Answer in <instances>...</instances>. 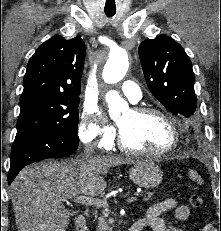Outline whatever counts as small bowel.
Listing matches in <instances>:
<instances>
[{"mask_svg": "<svg viewBox=\"0 0 221 231\" xmlns=\"http://www.w3.org/2000/svg\"><path fill=\"white\" fill-rule=\"evenodd\" d=\"M174 210L175 219L178 222H190L191 212L187 206L179 205L173 198H167L153 204L147 211L144 218L136 223L141 227V231L149 229L150 231H184L176 225L166 221L161 215L167 211ZM199 231H216L214 226L208 224Z\"/></svg>", "mask_w": 221, "mask_h": 231, "instance_id": "obj_1", "label": "small bowel"}]
</instances>
